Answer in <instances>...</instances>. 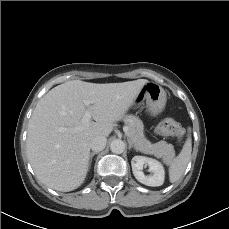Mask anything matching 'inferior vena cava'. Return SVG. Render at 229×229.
I'll use <instances>...</instances> for the list:
<instances>
[{"mask_svg": "<svg viewBox=\"0 0 229 229\" xmlns=\"http://www.w3.org/2000/svg\"><path fill=\"white\" fill-rule=\"evenodd\" d=\"M106 143L107 139L105 136H95L90 141V148L95 152H99L105 148Z\"/></svg>", "mask_w": 229, "mask_h": 229, "instance_id": "obj_1", "label": "inferior vena cava"}]
</instances>
